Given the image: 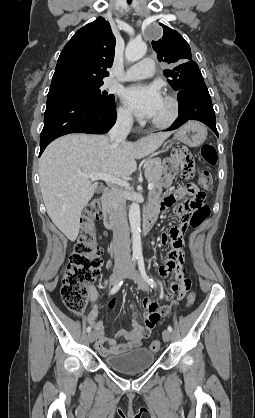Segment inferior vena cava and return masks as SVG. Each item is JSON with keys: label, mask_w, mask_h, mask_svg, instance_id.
<instances>
[{"label": "inferior vena cava", "mask_w": 255, "mask_h": 418, "mask_svg": "<svg viewBox=\"0 0 255 418\" xmlns=\"http://www.w3.org/2000/svg\"><path fill=\"white\" fill-rule=\"evenodd\" d=\"M133 125L130 113H120L113 128L109 131L111 142L120 143L125 141ZM110 204L113 218V249L115 260H130L129 226L126 214L124 194L117 188L110 192Z\"/></svg>", "instance_id": "1"}]
</instances>
